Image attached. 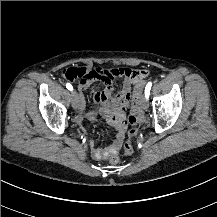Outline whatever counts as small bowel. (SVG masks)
I'll list each match as a JSON object with an SVG mask.
<instances>
[{
    "label": "small bowel",
    "mask_w": 217,
    "mask_h": 217,
    "mask_svg": "<svg viewBox=\"0 0 217 217\" xmlns=\"http://www.w3.org/2000/svg\"><path fill=\"white\" fill-rule=\"evenodd\" d=\"M147 75L135 77L132 73L128 72L123 74L124 80L119 90L114 88V79L110 71L99 75L98 82L105 87L96 92L94 95L95 103L99 111L105 114L107 121L115 130V142L109 146L99 147L96 145L94 139H89L88 146L90 153L95 160H104L110 154H117L122 145L125 136L128 120L131 116L129 106L131 105L132 98V84L135 81L144 80ZM89 83H81L80 90H84L89 86ZM83 97V94L81 93ZM95 112L90 110L85 113L78 112L74 118V122L84 130L85 120H93Z\"/></svg>",
    "instance_id": "small-bowel-1"
}]
</instances>
